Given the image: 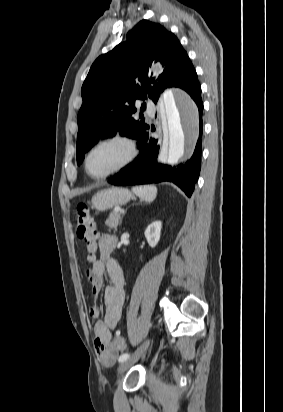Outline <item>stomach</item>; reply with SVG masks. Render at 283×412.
Wrapping results in <instances>:
<instances>
[{"instance_id":"stomach-1","label":"stomach","mask_w":283,"mask_h":412,"mask_svg":"<svg viewBox=\"0 0 283 412\" xmlns=\"http://www.w3.org/2000/svg\"><path fill=\"white\" fill-rule=\"evenodd\" d=\"M133 199V194L125 188L112 187L97 192L91 200L97 211H107L116 205L126 204Z\"/></svg>"}]
</instances>
